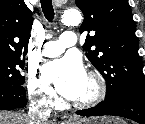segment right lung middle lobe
<instances>
[{
  "label": "right lung middle lobe",
  "instance_id": "1",
  "mask_svg": "<svg viewBox=\"0 0 145 124\" xmlns=\"http://www.w3.org/2000/svg\"><path fill=\"white\" fill-rule=\"evenodd\" d=\"M20 68H24L20 55L0 53V85H23L25 77Z\"/></svg>",
  "mask_w": 145,
  "mask_h": 124
}]
</instances>
